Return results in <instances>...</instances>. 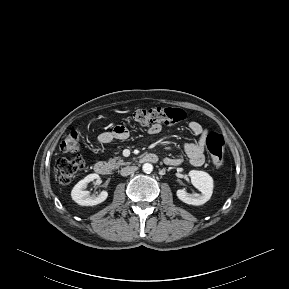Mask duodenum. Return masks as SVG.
Segmentation results:
<instances>
[{
  "label": "duodenum",
  "instance_id": "obj_1",
  "mask_svg": "<svg viewBox=\"0 0 289 289\" xmlns=\"http://www.w3.org/2000/svg\"><path fill=\"white\" fill-rule=\"evenodd\" d=\"M158 161L157 155L148 153L141 156L138 160L139 163H156ZM94 170L100 175H109L112 172V166L106 161H97L94 164Z\"/></svg>",
  "mask_w": 289,
  "mask_h": 289
}]
</instances>
